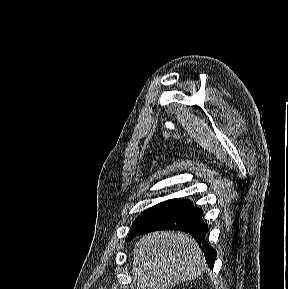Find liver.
I'll list each match as a JSON object with an SVG mask.
<instances>
[{
  "label": "liver",
  "instance_id": "1",
  "mask_svg": "<svg viewBox=\"0 0 288 289\" xmlns=\"http://www.w3.org/2000/svg\"><path fill=\"white\" fill-rule=\"evenodd\" d=\"M205 268L204 254L193 237L161 231L146 234L136 243L131 273L136 289H171L196 279Z\"/></svg>",
  "mask_w": 288,
  "mask_h": 289
}]
</instances>
